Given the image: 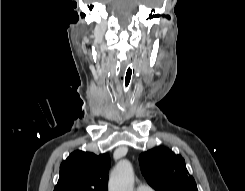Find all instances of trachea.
I'll return each mask as SVG.
<instances>
[{
    "label": "trachea",
    "mask_w": 245,
    "mask_h": 191,
    "mask_svg": "<svg viewBox=\"0 0 245 191\" xmlns=\"http://www.w3.org/2000/svg\"><path fill=\"white\" fill-rule=\"evenodd\" d=\"M133 64H129L125 75H124V79H123V93L127 94L130 90V85H131V79H132V75H133Z\"/></svg>",
    "instance_id": "obj_1"
}]
</instances>
